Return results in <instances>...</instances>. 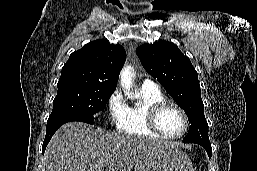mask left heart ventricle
<instances>
[{"instance_id": "obj_1", "label": "left heart ventricle", "mask_w": 257, "mask_h": 171, "mask_svg": "<svg viewBox=\"0 0 257 171\" xmlns=\"http://www.w3.org/2000/svg\"><path fill=\"white\" fill-rule=\"evenodd\" d=\"M159 126L168 135H178L183 131L184 122L181 114L174 107H166L159 115Z\"/></svg>"}]
</instances>
